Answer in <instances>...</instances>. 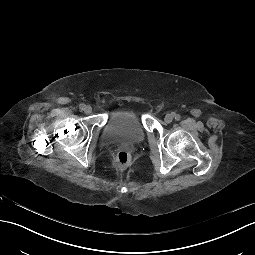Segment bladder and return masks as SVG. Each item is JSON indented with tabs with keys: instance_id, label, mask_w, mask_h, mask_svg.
<instances>
[{
	"instance_id": "obj_1",
	"label": "bladder",
	"mask_w": 255,
	"mask_h": 255,
	"mask_svg": "<svg viewBox=\"0 0 255 255\" xmlns=\"http://www.w3.org/2000/svg\"><path fill=\"white\" fill-rule=\"evenodd\" d=\"M137 116L138 114L133 110L112 116L106 123L102 138L107 142L128 140L139 143L144 139L145 131Z\"/></svg>"
}]
</instances>
